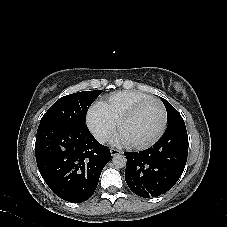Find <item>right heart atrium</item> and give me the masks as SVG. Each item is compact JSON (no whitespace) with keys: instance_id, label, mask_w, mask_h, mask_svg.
<instances>
[{"instance_id":"1","label":"right heart atrium","mask_w":227,"mask_h":227,"mask_svg":"<svg viewBox=\"0 0 227 227\" xmlns=\"http://www.w3.org/2000/svg\"><path fill=\"white\" fill-rule=\"evenodd\" d=\"M85 123L90 133L100 143L109 141L116 130V124L103 113L98 104L89 109Z\"/></svg>"}]
</instances>
